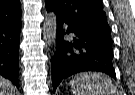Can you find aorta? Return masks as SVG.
Returning <instances> with one entry per match:
<instances>
[{
    "label": "aorta",
    "mask_w": 135,
    "mask_h": 95,
    "mask_svg": "<svg viewBox=\"0 0 135 95\" xmlns=\"http://www.w3.org/2000/svg\"><path fill=\"white\" fill-rule=\"evenodd\" d=\"M57 31V17L54 12L46 14L43 23V37L48 46L55 44Z\"/></svg>",
    "instance_id": "1"
}]
</instances>
